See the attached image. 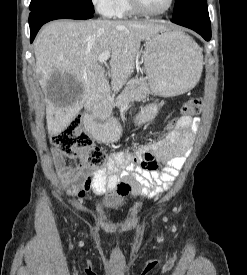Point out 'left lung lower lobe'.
Here are the masks:
<instances>
[{
  "mask_svg": "<svg viewBox=\"0 0 247 275\" xmlns=\"http://www.w3.org/2000/svg\"><path fill=\"white\" fill-rule=\"evenodd\" d=\"M173 23L190 28L200 34L206 41L211 39V23L209 14L208 15H198L185 19L174 20L171 19Z\"/></svg>",
  "mask_w": 247,
  "mask_h": 275,
  "instance_id": "0a47b994",
  "label": "left lung lower lobe"
}]
</instances>
